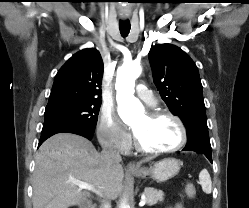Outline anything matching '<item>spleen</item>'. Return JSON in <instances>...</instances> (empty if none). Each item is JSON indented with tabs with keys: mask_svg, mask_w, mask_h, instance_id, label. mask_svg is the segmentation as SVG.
<instances>
[{
	"mask_svg": "<svg viewBox=\"0 0 249 208\" xmlns=\"http://www.w3.org/2000/svg\"><path fill=\"white\" fill-rule=\"evenodd\" d=\"M200 185L202 186V190L206 194H210L212 190V181L211 177L206 169H203L199 174Z\"/></svg>",
	"mask_w": 249,
	"mask_h": 208,
	"instance_id": "obj_1",
	"label": "spleen"
}]
</instances>
